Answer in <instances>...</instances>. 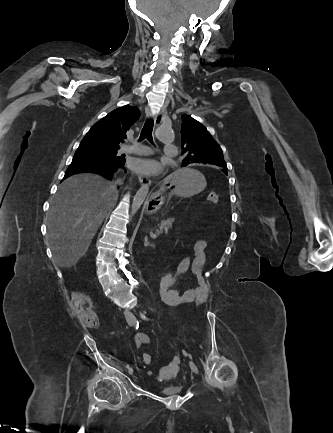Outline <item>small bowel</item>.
Returning a JSON list of instances; mask_svg holds the SVG:
<instances>
[{
  "mask_svg": "<svg viewBox=\"0 0 333 433\" xmlns=\"http://www.w3.org/2000/svg\"><path fill=\"white\" fill-rule=\"evenodd\" d=\"M207 247H208V242L206 240H199L194 244L193 266L197 271L196 286L190 287L184 290L182 293L178 292L175 289V285L177 284V281L180 278V276L183 275L190 267L191 261L188 256L183 257L179 262L176 270L172 272L173 273L172 285L165 286V290H166L165 292H167V290H170V293H168V298L171 299V302L168 303L169 305H173V303L178 304V302L184 301L186 303L195 302L197 306H200L207 301L210 288L205 277L202 274V269L207 262ZM162 300L164 301L165 299ZM150 343H151V338L146 333H138L134 338V345L137 348H140L143 344H150Z\"/></svg>",
  "mask_w": 333,
  "mask_h": 433,
  "instance_id": "c3829d8e",
  "label": "small bowel"
}]
</instances>
